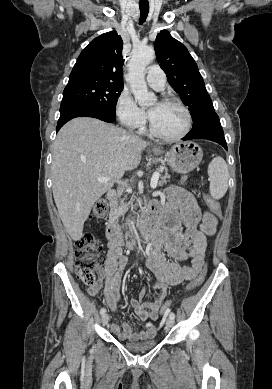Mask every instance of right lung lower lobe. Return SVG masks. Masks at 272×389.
Segmentation results:
<instances>
[{
  "label": "right lung lower lobe",
  "instance_id": "1",
  "mask_svg": "<svg viewBox=\"0 0 272 389\" xmlns=\"http://www.w3.org/2000/svg\"><path fill=\"white\" fill-rule=\"evenodd\" d=\"M76 117H93L105 122L111 123L116 119V115L105 112L95 106L82 103H66L60 106V118L57 123L56 131L69 120Z\"/></svg>",
  "mask_w": 272,
  "mask_h": 389
}]
</instances>
